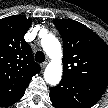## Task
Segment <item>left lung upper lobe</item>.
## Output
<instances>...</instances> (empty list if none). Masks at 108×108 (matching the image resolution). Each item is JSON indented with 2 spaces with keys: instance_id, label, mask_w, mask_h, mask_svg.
Masks as SVG:
<instances>
[{
  "instance_id": "obj_1",
  "label": "left lung upper lobe",
  "mask_w": 108,
  "mask_h": 108,
  "mask_svg": "<svg viewBox=\"0 0 108 108\" xmlns=\"http://www.w3.org/2000/svg\"><path fill=\"white\" fill-rule=\"evenodd\" d=\"M63 39V78L108 85V46L72 19L53 20Z\"/></svg>"
}]
</instances>
